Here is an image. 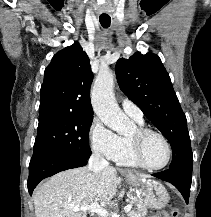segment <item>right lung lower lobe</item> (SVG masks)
I'll return each mask as SVG.
<instances>
[{
	"label": "right lung lower lobe",
	"mask_w": 211,
	"mask_h": 217,
	"mask_svg": "<svg viewBox=\"0 0 211 217\" xmlns=\"http://www.w3.org/2000/svg\"><path fill=\"white\" fill-rule=\"evenodd\" d=\"M87 158H79L60 153H39L32 156L29 165L28 191L32 194L37 184L44 178L60 171L82 167L87 164Z\"/></svg>",
	"instance_id": "98d812e1"
}]
</instances>
